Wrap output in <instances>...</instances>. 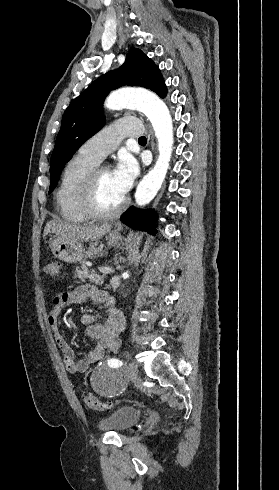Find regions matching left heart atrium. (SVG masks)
Masks as SVG:
<instances>
[{
	"instance_id": "1",
	"label": "left heart atrium",
	"mask_w": 279,
	"mask_h": 490,
	"mask_svg": "<svg viewBox=\"0 0 279 490\" xmlns=\"http://www.w3.org/2000/svg\"><path fill=\"white\" fill-rule=\"evenodd\" d=\"M139 175L138 163L130 156H122L111 171V179L121 198H125Z\"/></svg>"
}]
</instances>
